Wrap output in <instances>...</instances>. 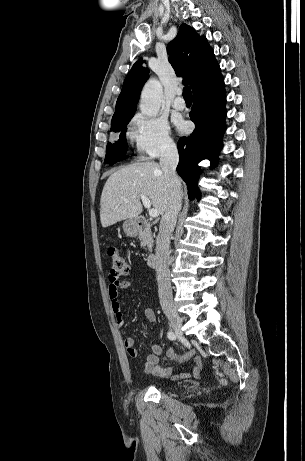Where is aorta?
Masks as SVG:
<instances>
[{
  "instance_id": "obj_1",
  "label": "aorta",
  "mask_w": 305,
  "mask_h": 461,
  "mask_svg": "<svg viewBox=\"0 0 305 461\" xmlns=\"http://www.w3.org/2000/svg\"><path fill=\"white\" fill-rule=\"evenodd\" d=\"M163 97L162 86L156 79H150L141 93L140 110L143 114L153 117L158 115Z\"/></svg>"
}]
</instances>
